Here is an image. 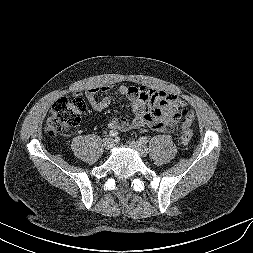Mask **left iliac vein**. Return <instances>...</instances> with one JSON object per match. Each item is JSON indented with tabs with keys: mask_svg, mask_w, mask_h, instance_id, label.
Returning <instances> with one entry per match:
<instances>
[{
	"mask_svg": "<svg viewBox=\"0 0 253 253\" xmlns=\"http://www.w3.org/2000/svg\"><path fill=\"white\" fill-rule=\"evenodd\" d=\"M129 146H130V148L137 151L139 153V155L142 157L146 156L148 153L147 149L143 145H141L140 142L130 141Z\"/></svg>",
	"mask_w": 253,
	"mask_h": 253,
	"instance_id": "left-iliac-vein-1",
	"label": "left iliac vein"
}]
</instances>
